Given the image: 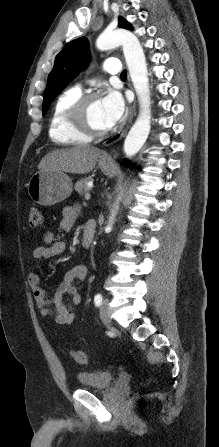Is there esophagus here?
I'll return each mask as SVG.
<instances>
[{
    "instance_id": "esophagus-1",
    "label": "esophagus",
    "mask_w": 219,
    "mask_h": 447,
    "mask_svg": "<svg viewBox=\"0 0 219 447\" xmlns=\"http://www.w3.org/2000/svg\"><path fill=\"white\" fill-rule=\"evenodd\" d=\"M134 116H135V102L133 103V105H132V107H131V109H130V112H129V119H128L129 124L132 122V119H133ZM127 127H128V126H127ZM117 156H118V154H117V152H116L115 150H112V151L107 155V157H108L109 159H115V158H117Z\"/></svg>"
}]
</instances>
